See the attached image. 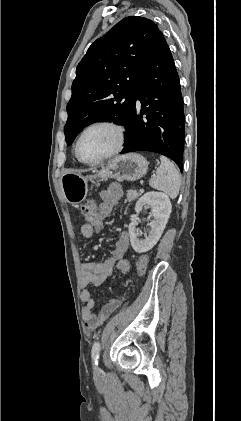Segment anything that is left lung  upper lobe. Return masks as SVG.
I'll return each mask as SVG.
<instances>
[{
  "instance_id": "left-lung-upper-lobe-1",
  "label": "left lung upper lobe",
  "mask_w": 241,
  "mask_h": 421,
  "mask_svg": "<svg viewBox=\"0 0 241 421\" xmlns=\"http://www.w3.org/2000/svg\"><path fill=\"white\" fill-rule=\"evenodd\" d=\"M161 31L140 16L122 19L87 50L76 69L64 128L70 145L94 122H116L128 131L136 84Z\"/></svg>"
}]
</instances>
